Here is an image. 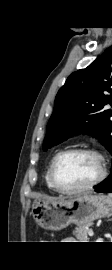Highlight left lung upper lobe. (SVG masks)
<instances>
[{"label": "left lung upper lobe", "mask_w": 112, "mask_h": 270, "mask_svg": "<svg viewBox=\"0 0 112 270\" xmlns=\"http://www.w3.org/2000/svg\"><path fill=\"white\" fill-rule=\"evenodd\" d=\"M112 47L85 69L72 73L59 90L43 150L76 134H90L112 153Z\"/></svg>", "instance_id": "obj_1"}]
</instances>
